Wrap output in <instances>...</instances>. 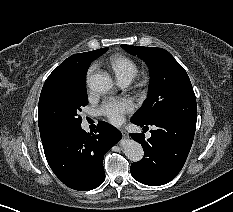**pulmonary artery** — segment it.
Instances as JSON below:
<instances>
[{"label":"pulmonary artery","mask_w":233,"mask_h":212,"mask_svg":"<svg viewBox=\"0 0 233 212\" xmlns=\"http://www.w3.org/2000/svg\"><path fill=\"white\" fill-rule=\"evenodd\" d=\"M129 83H130V82H128V81H121V82H119V84H120L121 86H123V87L127 86Z\"/></svg>","instance_id":"obj_1"}]
</instances>
